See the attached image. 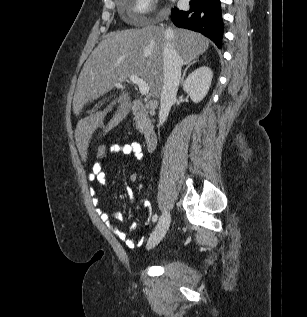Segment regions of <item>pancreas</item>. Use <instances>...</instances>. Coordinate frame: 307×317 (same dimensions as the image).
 Returning a JSON list of instances; mask_svg holds the SVG:
<instances>
[{"instance_id": "cf45deb5", "label": "pancreas", "mask_w": 307, "mask_h": 317, "mask_svg": "<svg viewBox=\"0 0 307 317\" xmlns=\"http://www.w3.org/2000/svg\"><path fill=\"white\" fill-rule=\"evenodd\" d=\"M136 121H137V122H136V127H137V129L140 130V132H143V131H144V128H145L147 125L150 124L149 119H147L146 117H142V116L137 117V118H136Z\"/></svg>"}]
</instances>
